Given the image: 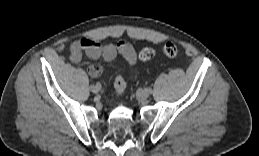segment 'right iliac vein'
<instances>
[{
    "label": "right iliac vein",
    "instance_id": "obj_1",
    "mask_svg": "<svg viewBox=\"0 0 259 156\" xmlns=\"http://www.w3.org/2000/svg\"><path fill=\"white\" fill-rule=\"evenodd\" d=\"M100 91V86L95 85V88L92 90L93 93H98Z\"/></svg>",
    "mask_w": 259,
    "mask_h": 156
}]
</instances>
